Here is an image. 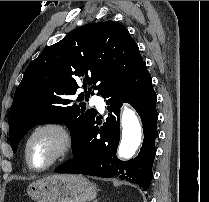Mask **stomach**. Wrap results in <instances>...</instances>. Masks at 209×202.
<instances>
[{
	"instance_id": "stomach-1",
	"label": "stomach",
	"mask_w": 209,
	"mask_h": 202,
	"mask_svg": "<svg viewBox=\"0 0 209 202\" xmlns=\"http://www.w3.org/2000/svg\"><path fill=\"white\" fill-rule=\"evenodd\" d=\"M27 194L36 202H89L97 188L82 175L53 174L29 184Z\"/></svg>"
}]
</instances>
